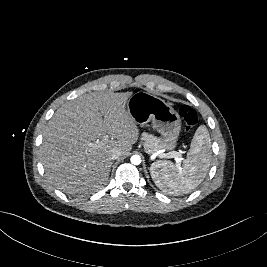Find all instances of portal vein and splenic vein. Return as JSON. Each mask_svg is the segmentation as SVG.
I'll return each mask as SVG.
<instances>
[{"instance_id":"18ae733b","label":"portal vein and splenic vein","mask_w":267,"mask_h":267,"mask_svg":"<svg viewBox=\"0 0 267 267\" xmlns=\"http://www.w3.org/2000/svg\"><path fill=\"white\" fill-rule=\"evenodd\" d=\"M108 140H109V136L108 135H104L103 138H102V141L103 142H107ZM99 143H100V141L97 140V141H95L93 143H89L88 146L89 147H97L99 145ZM168 157L175 158L177 163H180L181 160H182L181 153L176 152V151H172V152L168 153Z\"/></svg>"}]
</instances>
